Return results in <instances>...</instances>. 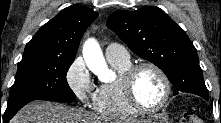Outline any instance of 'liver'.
<instances>
[{"label": "liver", "mask_w": 221, "mask_h": 123, "mask_svg": "<svg viewBox=\"0 0 221 123\" xmlns=\"http://www.w3.org/2000/svg\"><path fill=\"white\" fill-rule=\"evenodd\" d=\"M118 121V120H117ZM103 119L64 105L35 101L27 104L11 123H102ZM140 123V121H134Z\"/></svg>", "instance_id": "obj_1"}]
</instances>
